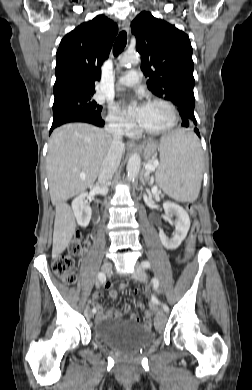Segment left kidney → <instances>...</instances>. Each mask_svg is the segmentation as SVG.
Returning a JSON list of instances; mask_svg holds the SVG:
<instances>
[{
	"instance_id": "1",
	"label": "left kidney",
	"mask_w": 252,
	"mask_h": 390,
	"mask_svg": "<svg viewBox=\"0 0 252 390\" xmlns=\"http://www.w3.org/2000/svg\"><path fill=\"white\" fill-rule=\"evenodd\" d=\"M163 208L168 218L176 216L175 230L172 238H168L162 229H159V237L163 246L168 250L177 249L187 236L190 228V218L188 213L178 204L164 202Z\"/></svg>"
}]
</instances>
